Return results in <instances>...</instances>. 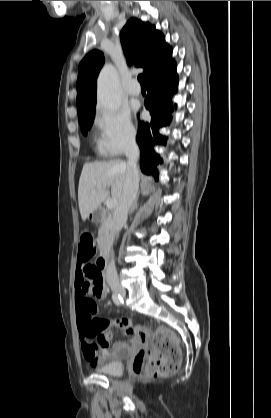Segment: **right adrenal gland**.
I'll list each match as a JSON object with an SVG mask.
<instances>
[{
  "label": "right adrenal gland",
  "instance_id": "right-adrenal-gland-1",
  "mask_svg": "<svg viewBox=\"0 0 271 418\" xmlns=\"http://www.w3.org/2000/svg\"><path fill=\"white\" fill-rule=\"evenodd\" d=\"M138 199H139V194L136 196V198L134 199L130 209H129V213H132L134 210H136L138 208Z\"/></svg>",
  "mask_w": 271,
  "mask_h": 418
}]
</instances>
